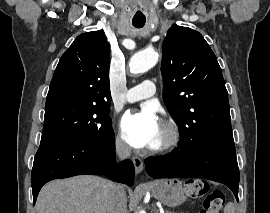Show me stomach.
Here are the masks:
<instances>
[{"label":"stomach","mask_w":270,"mask_h":213,"mask_svg":"<svg viewBox=\"0 0 270 213\" xmlns=\"http://www.w3.org/2000/svg\"><path fill=\"white\" fill-rule=\"evenodd\" d=\"M153 196L169 207H176L185 200L182 182L178 179H165L152 183Z\"/></svg>","instance_id":"1"}]
</instances>
